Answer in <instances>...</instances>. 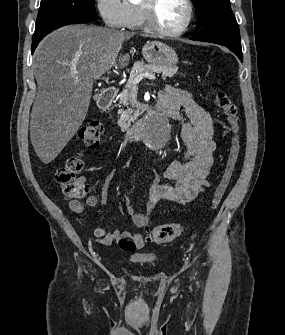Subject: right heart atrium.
Listing matches in <instances>:
<instances>
[{
    "instance_id": "obj_1",
    "label": "right heart atrium",
    "mask_w": 285,
    "mask_h": 335,
    "mask_svg": "<svg viewBox=\"0 0 285 335\" xmlns=\"http://www.w3.org/2000/svg\"><path fill=\"white\" fill-rule=\"evenodd\" d=\"M99 8L105 25L115 30L127 27L134 16L128 1H100Z\"/></svg>"
}]
</instances>
